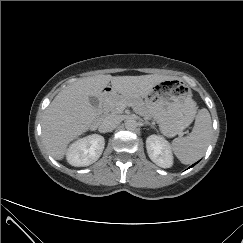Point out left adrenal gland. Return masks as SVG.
Masks as SVG:
<instances>
[{
  "mask_svg": "<svg viewBox=\"0 0 243 243\" xmlns=\"http://www.w3.org/2000/svg\"><path fill=\"white\" fill-rule=\"evenodd\" d=\"M145 125H149L153 128V126L149 122H144Z\"/></svg>",
  "mask_w": 243,
  "mask_h": 243,
  "instance_id": "left-adrenal-gland-1",
  "label": "left adrenal gland"
}]
</instances>
